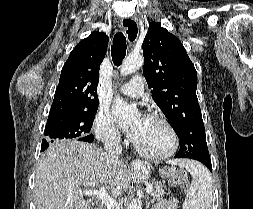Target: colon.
<instances>
[{"label":"colon","mask_w":253,"mask_h":209,"mask_svg":"<svg viewBox=\"0 0 253 209\" xmlns=\"http://www.w3.org/2000/svg\"><path fill=\"white\" fill-rule=\"evenodd\" d=\"M168 180L172 185L181 186L184 189L188 186L187 174L182 170H171L168 173Z\"/></svg>","instance_id":"1"}]
</instances>
